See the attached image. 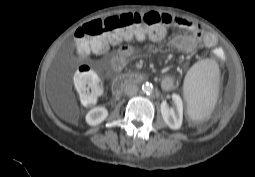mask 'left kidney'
I'll return each mask as SVG.
<instances>
[{"instance_id": "obj_1", "label": "left kidney", "mask_w": 255, "mask_h": 177, "mask_svg": "<svg viewBox=\"0 0 255 177\" xmlns=\"http://www.w3.org/2000/svg\"><path fill=\"white\" fill-rule=\"evenodd\" d=\"M174 107L169 108L166 101L161 103V114L165 123L174 130L180 129L183 120V102L179 95L173 94Z\"/></svg>"}]
</instances>
